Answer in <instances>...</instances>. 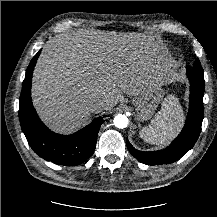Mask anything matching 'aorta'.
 Returning a JSON list of instances; mask_svg holds the SVG:
<instances>
[{
  "label": "aorta",
  "instance_id": "obj_1",
  "mask_svg": "<svg viewBox=\"0 0 217 217\" xmlns=\"http://www.w3.org/2000/svg\"><path fill=\"white\" fill-rule=\"evenodd\" d=\"M114 126L120 129L126 128L128 126V118L123 114H118L114 117Z\"/></svg>",
  "mask_w": 217,
  "mask_h": 217
}]
</instances>
